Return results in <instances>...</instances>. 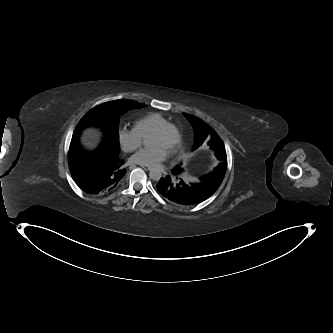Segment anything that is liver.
I'll use <instances>...</instances> for the list:
<instances>
[{
  "label": "liver",
  "mask_w": 333,
  "mask_h": 333,
  "mask_svg": "<svg viewBox=\"0 0 333 333\" xmlns=\"http://www.w3.org/2000/svg\"><path fill=\"white\" fill-rule=\"evenodd\" d=\"M101 133L98 129H85L81 135L82 143L89 149L97 147L100 142Z\"/></svg>",
  "instance_id": "liver-1"
}]
</instances>
